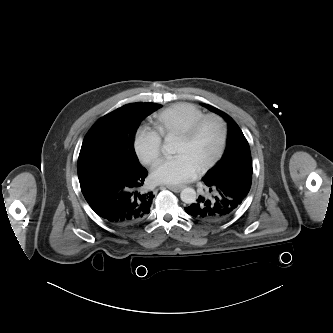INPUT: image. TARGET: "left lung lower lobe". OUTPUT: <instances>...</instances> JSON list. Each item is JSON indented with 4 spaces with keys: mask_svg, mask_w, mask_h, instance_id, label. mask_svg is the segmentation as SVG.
I'll list each match as a JSON object with an SVG mask.
<instances>
[{
    "mask_svg": "<svg viewBox=\"0 0 333 333\" xmlns=\"http://www.w3.org/2000/svg\"><path fill=\"white\" fill-rule=\"evenodd\" d=\"M206 192L185 211L197 220L220 222L232 215L249 193L252 176L229 174L221 179L203 177Z\"/></svg>",
    "mask_w": 333,
    "mask_h": 333,
    "instance_id": "0a47b994",
    "label": "left lung lower lobe"
}]
</instances>
